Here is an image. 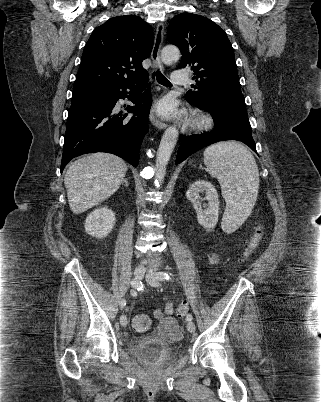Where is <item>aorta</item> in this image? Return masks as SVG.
Returning <instances> with one entry per match:
<instances>
[{
	"instance_id": "aorta-1",
	"label": "aorta",
	"mask_w": 321,
	"mask_h": 402,
	"mask_svg": "<svg viewBox=\"0 0 321 402\" xmlns=\"http://www.w3.org/2000/svg\"><path fill=\"white\" fill-rule=\"evenodd\" d=\"M180 58V51L176 46H165L161 51V60L170 65ZM179 132L175 127H168L162 136L155 163V184L159 186L164 180L166 166L177 143Z\"/></svg>"
}]
</instances>
